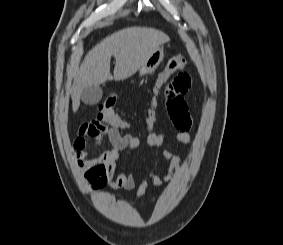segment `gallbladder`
<instances>
[{
	"instance_id": "gallbladder-1",
	"label": "gallbladder",
	"mask_w": 283,
	"mask_h": 245,
	"mask_svg": "<svg viewBox=\"0 0 283 245\" xmlns=\"http://www.w3.org/2000/svg\"><path fill=\"white\" fill-rule=\"evenodd\" d=\"M102 98V89L99 85L87 86L81 93V100L87 105H94Z\"/></svg>"
}]
</instances>
